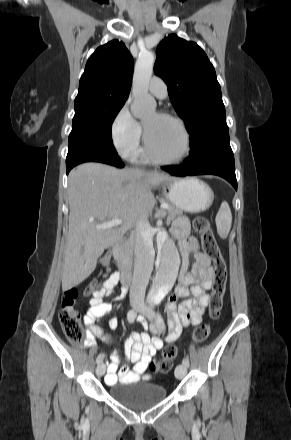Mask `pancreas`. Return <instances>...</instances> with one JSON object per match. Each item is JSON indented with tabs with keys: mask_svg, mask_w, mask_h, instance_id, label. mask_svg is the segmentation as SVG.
Instances as JSON below:
<instances>
[{
	"mask_svg": "<svg viewBox=\"0 0 291 440\" xmlns=\"http://www.w3.org/2000/svg\"><path fill=\"white\" fill-rule=\"evenodd\" d=\"M161 202L166 203L169 206V208L167 209V212H168L167 221L168 222L174 220L178 215L182 214V210L173 206L169 202L164 201V200H162ZM133 248H134V239L131 236L122 247V253H123L124 257L131 259L132 255H133Z\"/></svg>",
	"mask_w": 291,
	"mask_h": 440,
	"instance_id": "obj_1",
	"label": "pancreas"
}]
</instances>
